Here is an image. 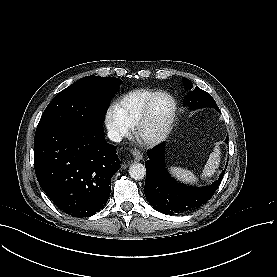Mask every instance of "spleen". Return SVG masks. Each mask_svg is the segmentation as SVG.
<instances>
[{
	"label": "spleen",
	"mask_w": 277,
	"mask_h": 277,
	"mask_svg": "<svg viewBox=\"0 0 277 277\" xmlns=\"http://www.w3.org/2000/svg\"><path fill=\"white\" fill-rule=\"evenodd\" d=\"M220 162V149L218 146L215 147L214 152L209 156V159L204 167L202 176L211 177L216 172V169L219 167ZM170 172L179 180L186 183H195L197 177L189 170H185L179 167H171Z\"/></svg>",
	"instance_id": "1"
}]
</instances>
